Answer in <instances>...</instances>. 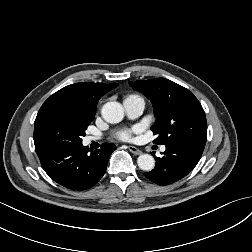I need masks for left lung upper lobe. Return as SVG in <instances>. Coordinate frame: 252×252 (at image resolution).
Wrapping results in <instances>:
<instances>
[{"mask_svg":"<svg viewBox=\"0 0 252 252\" xmlns=\"http://www.w3.org/2000/svg\"><path fill=\"white\" fill-rule=\"evenodd\" d=\"M151 100L156 122L152 126L156 144L191 141L205 145L207 122L197 98L186 88L165 78L129 82Z\"/></svg>","mask_w":252,"mask_h":252,"instance_id":"left-lung-upper-lobe-1","label":"left lung upper lobe"}]
</instances>
